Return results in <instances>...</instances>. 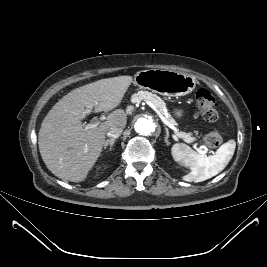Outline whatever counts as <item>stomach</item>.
Masks as SVG:
<instances>
[{
  "label": "stomach",
  "mask_w": 267,
  "mask_h": 267,
  "mask_svg": "<svg viewBox=\"0 0 267 267\" xmlns=\"http://www.w3.org/2000/svg\"><path fill=\"white\" fill-rule=\"evenodd\" d=\"M134 80L140 89L152 90L170 97L187 95L196 87L194 76L171 70H143L136 74ZM175 113L179 118L183 116L182 110H176Z\"/></svg>",
  "instance_id": "obj_1"
}]
</instances>
